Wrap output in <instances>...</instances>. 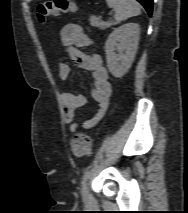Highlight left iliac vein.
<instances>
[{
	"label": "left iliac vein",
	"mask_w": 188,
	"mask_h": 213,
	"mask_svg": "<svg viewBox=\"0 0 188 213\" xmlns=\"http://www.w3.org/2000/svg\"><path fill=\"white\" fill-rule=\"evenodd\" d=\"M89 195L88 183H85L83 186V196L87 197Z\"/></svg>",
	"instance_id": "left-iliac-vein-1"
}]
</instances>
